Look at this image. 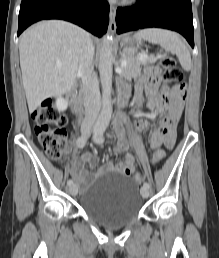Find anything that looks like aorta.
Returning a JSON list of instances; mask_svg holds the SVG:
<instances>
[{
    "instance_id": "aorta-1",
    "label": "aorta",
    "mask_w": 219,
    "mask_h": 258,
    "mask_svg": "<svg viewBox=\"0 0 219 258\" xmlns=\"http://www.w3.org/2000/svg\"><path fill=\"white\" fill-rule=\"evenodd\" d=\"M113 38L107 33L103 37L99 61V72L102 85V109L97 118L95 128L98 131H105L112 117V74H113Z\"/></svg>"
}]
</instances>
